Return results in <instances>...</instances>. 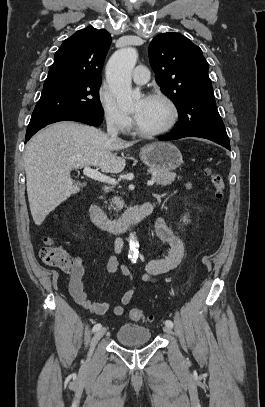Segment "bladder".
<instances>
[{
  "mask_svg": "<svg viewBox=\"0 0 265 407\" xmlns=\"http://www.w3.org/2000/svg\"><path fill=\"white\" fill-rule=\"evenodd\" d=\"M151 330L134 323L122 325L116 333V340L122 345L134 346L149 342Z\"/></svg>",
  "mask_w": 265,
  "mask_h": 407,
  "instance_id": "31cf9c89",
  "label": "bladder"
}]
</instances>
